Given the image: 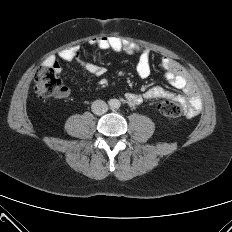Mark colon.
Returning a JSON list of instances; mask_svg holds the SVG:
<instances>
[{
	"label": "colon",
	"instance_id": "obj_1",
	"mask_svg": "<svg viewBox=\"0 0 232 232\" xmlns=\"http://www.w3.org/2000/svg\"><path fill=\"white\" fill-rule=\"evenodd\" d=\"M61 82L55 74L52 65H42L35 73L34 92L41 99L57 96L61 92ZM158 111L165 117L177 118L183 113V107L180 103L164 99L157 104Z\"/></svg>",
	"mask_w": 232,
	"mask_h": 232
}]
</instances>
